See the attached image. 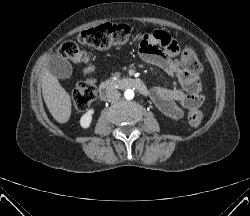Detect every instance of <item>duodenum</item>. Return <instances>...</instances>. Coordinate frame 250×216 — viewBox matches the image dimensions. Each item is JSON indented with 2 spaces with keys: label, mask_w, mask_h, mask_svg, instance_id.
I'll list each match as a JSON object with an SVG mask.
<instances>
[{
  "label": "duodenum",
  "mask_w": 250,
  "mask_h": 216,
  "mask_svg": "<svg viewBox=\"0 0 250 216\" xmlns=\"http://www.w3.org/2000/svg\"><path fill=\"white\" fill-rule=\"evenodd\" d=\"M116 88L135 89L140 93L147 95L149 93L145 83L136 78H121L112 81H105L99 87V95L102 100L106 99L108 95Z\"/></svg>",
  "instance_id": "1"
}]
</instances>
